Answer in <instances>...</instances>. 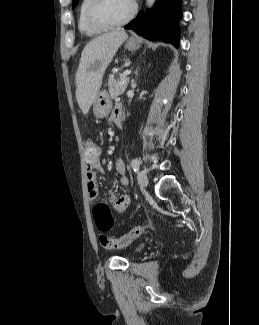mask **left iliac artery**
Instances as JSON below:
<instances>
[{
	"mask_svg": "<svg viewBox=\"0 0 259 325\" xmlns=\"http://www.w3.org/2000/svg\"><path fill=\"white\" fill-rule=\"evenodd\" d=\"M137 161H139L137 158H134L132 161H131V167L133 169V164H137Z\"/></svg>",
	"mask_w": 259,
	"mask_h": 325,
	"instance_id": "44dca946",
	"label": "left iliac artery"
}]
</instances>
